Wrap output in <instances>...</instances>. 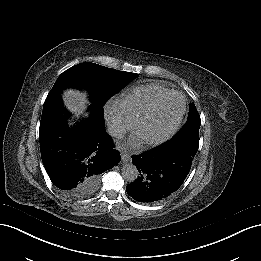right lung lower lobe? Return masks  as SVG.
I'll use <instances>...</instances> for the list:
<instances>
[{
    "label": "right lung lower lobe",
    "instance_id": "98d812e1",
    "mask_svg": "<svg viewBox=\"0 0 261 261\" xmlns=\"http://www.w3.org/2000/svg\"><path fill=\"white\" fill-rule=\"evenodd\" d=\"M60 90L52 89L44 105L39 142L44 167L52 183L64 193L77 195L82 185L91 188L98 175L120 161L105 132L102 105L90 106V117L69 130Z\"/></svg>",
    "mask_w": 261,
    "mask_h": 261
}]
</instances>
